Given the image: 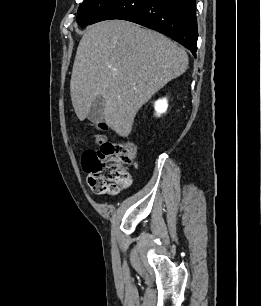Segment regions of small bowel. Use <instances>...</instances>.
I'll return each instance as SVG.
<instances>
[{"label":"small bowel","instance_id":"c3829d8e","mask_svg":"<svg viewBox=\"0 0 261 306\" xmlns=\"http://www.w3.org/2000/svg\"><path fill=\"white\" fill-rule=\"evenodd\" d=\"M118 190H119V188L110 189V190H108L107 192H109V193H116Z\"/></svg>","mask_w":261,"mask_h":306}]
</instances>
